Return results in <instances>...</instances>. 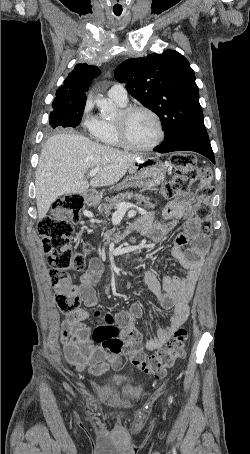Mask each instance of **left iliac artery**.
I'll list each match as a JSON object with an SVG mask.
<instances>
[{"mask_svg":"<svg viewBox=\"0 0 250 454\" xmlns=\"http://www.w3.org/2000/svg\"><path fill=\"white\" fill-rule=\"evenodd\" d=\"M169 401H170V402H172V401H173V397H172V396H170V398H169Z\"/></svg>","mask_w":250,"mask_h":454,"instance_id":"1","label":"left iliac artery"}]
</instances>
